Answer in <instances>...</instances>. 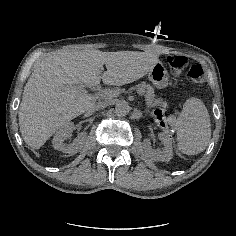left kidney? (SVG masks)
<instances>
[{
	"mask_svg": "<svg viewBox=\"0 0 236 236\" xmlns=\"http://www.w3.org/2000/svg\"><path fill=\"white\" fill-rule=\"evenodd\" d=\"M158 139H160L163 145L162 151L152 150L150 147V142L148 140H144L142 142L143 148L150 160L156 162H167L171 160L173 156V149L170 138L164 133H158Z\"/></svg>",
	"mask_w": 236,
	"mask_h": 236,
	"instance_id": "obj_1",
	"label": "left kidney"
}]
</instances>
